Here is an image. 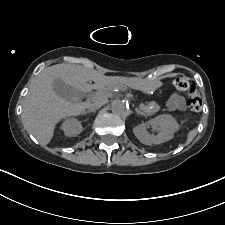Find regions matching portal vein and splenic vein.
Returning a JSON list of instances; mask_svg holds the SVG:
<instances>
[{
    "label": "portal vein and splenic vein",
    "mask_w": 225,
    "mask_h": 225,
    "mask_svg": "<svg viewBox=\"0 0 225 225\" xmlns=\"http://www.w3.org/2000/svg\"><path fill=\"white\" fill-rule=\"evenodd\" d=\"M140 108H143V105H140Z\"/></svg>",
    "instance_id": "18ae733b"
}]
</instances>
